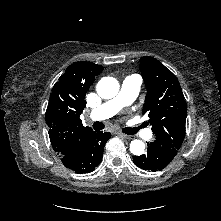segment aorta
Here are the masks:
<instances>
[{"mask_svg":"<svg viewBox=\"0 0 221 221\" xmlns=\"http://www.w3.org/2000/svg\"><path fill=\"white\" fill-rule=\"evenodd\" d=\"M97 93L101 98L111 99L119 92V82L113 77H103L97 84ZM145 150V144L141 140H133L130 144V152L133 155H141Z\"/></svg>","mask_w":221,"mask_h":221,"instance_id":"1","label":"aorta"}]
</instances>
